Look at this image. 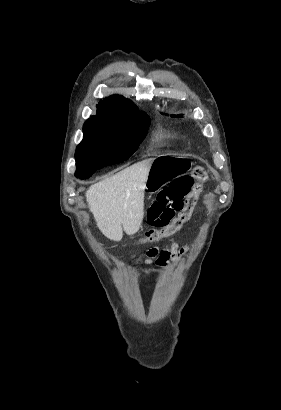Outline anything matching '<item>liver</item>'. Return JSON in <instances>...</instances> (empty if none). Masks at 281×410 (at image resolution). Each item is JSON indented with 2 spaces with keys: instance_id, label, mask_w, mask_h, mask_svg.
<instances>
[{
  "instance_id": "6515ba94",
  "label": "liver",
  "mask_w": 281,
  "mask_h": 410,
  "mask_svg": "<svg viewBox=\"0 0 281 410\" xmlns=\"http://www.w3.org/2000/svg\"><path fill=\"white\" fill-rule=\"evenodd\" d=\"M154 159L137 162L96 183L86 191V200L99 230L119 242L123 230L136 234L144 217V190Z\"/></svg>"
}]
</instances>
